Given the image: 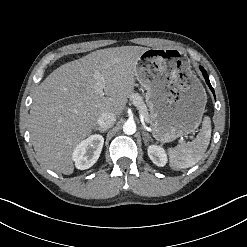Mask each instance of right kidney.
I'll return each mask as SVG.
<instances>
[{"label":"right kidney","instance_id":"ca27d5eb","mask_svg":"<svg viewBox=\"0 0 247 247\" xmlns=\"http://www.w3.org/2000/svg\"><path fill=\"white\" fill-rule=\"evenodd\" d=\"M103 144L104 138L101 135H91L81 141L72 154L76 168L85 170L93 166L100 156Z\"/></svg>","mask_w":247,"mask_h":247}]
</instances>
